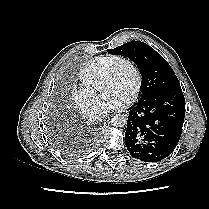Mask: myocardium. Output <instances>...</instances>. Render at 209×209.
I'll return each instance as SVG.
<instances>
[{
	"label": "myocardium",
	"mask_w": 209,
	"mask_h": 209,
	"mask_svg": "<svg viewBox=\"0 0 209 209\" xmlns=\"http://www.w3.org/2000/svg\"><path fill=\"white\" fill-rule=\"evenodd\" d=\"M122 65H128L132 69L135 78L134 85L128 97V101L131 102L138 96L142 85V76L140 70L133 60L124 57H120L118 60H116L106 71L102 85L105 86L111 82L117 75V72Z\"/></svg>",
	"instance_id": "1"
}]
</instances>
